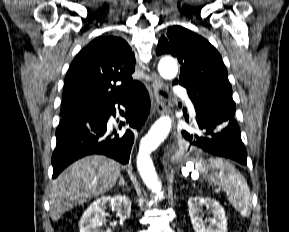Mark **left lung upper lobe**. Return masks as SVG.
<instances>
[{
    "instance_id": "obj_1",
    "label": "left lung upper lobe",
    "mask_w": 289,
    "mask_h": 232,
    "mask_svg": "<svg viewBox=\"0 0 289 232\" xmlns=\"http://www.w3.org/2000/svg\"><path fill=\"white\" fill-rule=\"evenodd\" d=\"M157 55L171 54L181 64V73L174 84L187 89L188 94L207 98L232 109V87L218 51L203 37L181 26L168 28L167 37L158 42Z\"/></svg>"
}]
</instances>
